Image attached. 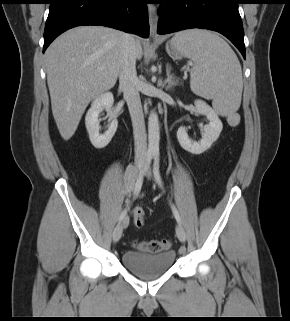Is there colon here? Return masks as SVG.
<instances>
[{
  "mask_svg": "<svg viewBox=\"0 0 290 321\" xmlns=\"http://www.w3.org/2000/svg\"><path fill=\"white\" fill-rule=\"evenodd\" d=\"M132 217L135 226L141 227L144 223L145 212L142 208L137 207L132 211ZM136 248L143 252L159 253L169 250L171 243L167 239L142 241L135 244Z\"/></svg>",
  "mask_w": 290,
  "mask_h": 321,
  "instance_id": "colon-1",
  "label": "colon"
}]
</instances>
